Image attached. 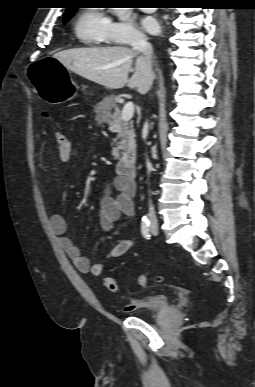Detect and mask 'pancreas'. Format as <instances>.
Instances as JSON below:
<instances>
[{"mask_svg":"<svg viewBox=\"0 0 255 387\" xmlns=\"http://www.w3.org/2000/svg\"><path fill=\"white\" fill-rule=\"evenodd\" d=\"M100 105L106 106L108 109L114 108L115 112L110 115L105 111H98V117L103 119L109 125V130L117 133L119 141L112 148V156L115 160L126 157L129 154H134L136 151L135 130L133 122H125L122 120V113L115 102V97L105 98Z\"/></svg>","mask_w":255,"mask_h":387,"instance_id":"cf45deb5","label":"pancreas"}]
</instances>
